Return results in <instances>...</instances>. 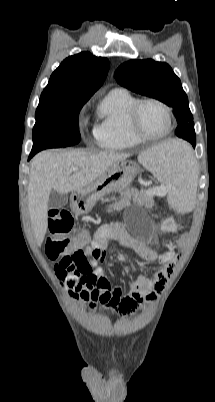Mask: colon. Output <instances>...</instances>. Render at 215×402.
<instances>
[{"mask_svg":"<svg viewBox=\"0 0 215 402\" xmlns=\"http://www.w3.org/2000/svg\"><path fill=\"white\" fill-rule=\"evenodd\" d=\"M49 237L46 243V254L52 259H60V267H72L74 263H80L84 260L85 256L82 251L87 248V244L92 242V237L87 234L75 235L73 240L68 237L69 232L73 227V217L70 212L66 210H52L49 214L48 220ZM191 241V233L185 232L184 236H179L174 244L177 246L178 251L183 253L185 251L184 244ZM174 258L168 261V267L174 262ZM82 272L87 271V267L82 265L80 267Z\"/></svg>","mask_w":215,"mask_h":402,"instance_id":"colon-1","label":"colon"}]
</instances>
